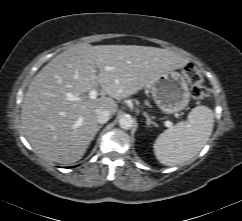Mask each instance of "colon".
I'll list each match as a JSON object with an SVG mask.
<instances>
[{
  "instance_id": "obj_1",
  "label": "colon",
  "mask_w": 242,
  "mask_h": 221,
  "mask_svg": "<svg viewBox=\"0 0 242 221\" xmlns=\"http://www.w3.org/2000/svg\"><path fill=\"white\" fill-rule=\"evenodd\" d=\"M184 73L189 80L192 88V96L196 100H204L208 97L209 91L202 83V76L193 65H187L184 68Z\"/></svg>"
}]
</instances>
